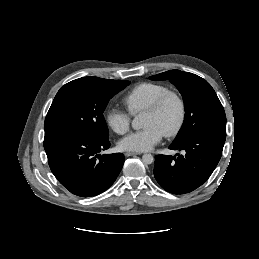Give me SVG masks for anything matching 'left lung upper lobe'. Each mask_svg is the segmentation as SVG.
Segmentation results:
<instances>
[{
  "mask_svg": "<svg viewBox=\"0 0 259 259\" xmlns=\"http://www.w3.org/2000/svg\"><path fill=\"white\" fill-rule=\"evenodd\" d=\"M151 80H169L181 93L185 107L183 125L172 143L179 144L201 131L226 132V115L211 85L203 78L180 70L150 76Z\"/></svg>",
  "mask_w": 259,
  "mask_h": 259,
  "instance_id": "obj_1",
  "label": "left lung upper lobe"
}]
</instances>
